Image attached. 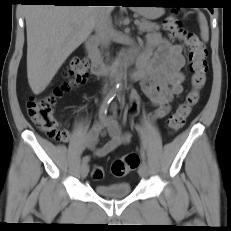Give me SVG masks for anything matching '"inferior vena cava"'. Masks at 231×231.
<instances>
[{"label":"inferior vena cava","instance_id":"inferior-vena-cava-1","mask_svg":"<svg viewBox=\"0 0 231 231\" xmlns=\"http://www.w3.org/2000/svg\"><path fill=\"white\" fill-rule=\"evenodd\" d=\"M110 27V7L97 6L95 12L96 37L103 46H106L110 43Z\"/></svg>","mask_w":231,"mask_h":231}]
</instances>
